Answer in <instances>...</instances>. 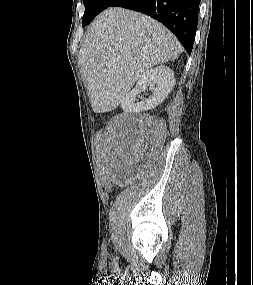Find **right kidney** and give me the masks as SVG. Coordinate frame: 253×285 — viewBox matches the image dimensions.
I'll return each mask as SVG.
<instances>
[{
  "label": "right kidney",
  "mask_w": 253,
  "mask_h": 285,
  "mask_svg": "<svg viewBox=\"0 0 253 285\" xmlns=\"http://www.w3.org/2000/svg\"><path fill=\"white\" fill-rule=\"evenodd\" d=\"M174 72L165 65L147 70L138 80L136 87L124 97L121 105L124 111L140 113L160 105L175 86ZM150 86L152 95L135 103V97Z\"/></svg>",
  "instance_id": "ca27d5eb"
}]
</instances>
